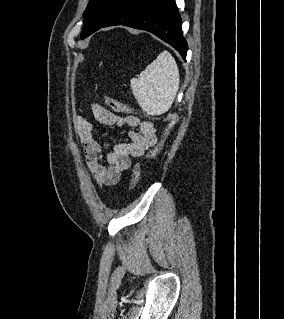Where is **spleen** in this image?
Here are the masks:
<instances>
[{
  "instance_id": "spleen-1",
  "label": "spleen",
  "mask_w": 284,
  "mask_h": 319,
  "mask_svg": "<svg viewBox=\"0 0 284 319\" xmlns=\"http://www.w3.org/2000/svg\"><path fill=\"white\" fill-rule=\"evenodd\" d=\"M180 77L175 59L163 51L139 78L130 81L133 95L144 112L161 115L169 110L179 89Z\"/></svg>"
}]
</instances>
